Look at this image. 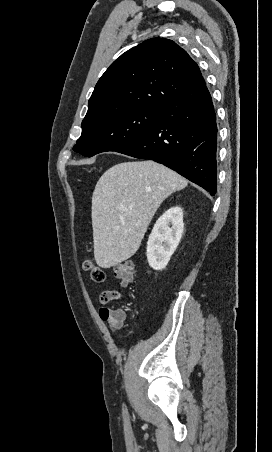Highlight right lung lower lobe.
<instances>
[{
    "mask_svg": "<svg viewBox=\"0 0 272 452\" xmlns=\"http://www.w3.org/2000/svg\"><path fill=\"white\" fill-rule=\"evenodd\" d=\"M217 124L206 85L165 110L149 129L117 152L161 163L215 195Z\"/></svg>",
    "mask_w": 272,
    "mask_h": 452,
    "instance_id": "obj_1",
    "label": "right lung lower lobe"
}]
</instances>
